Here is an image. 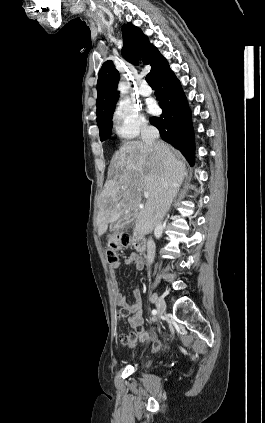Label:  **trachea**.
Instances as JSON below:
<instances>
[{"instance_id":"obj_1","label":"trachea","mask_w":265,"mask_h":423,"mask_svg":"<svg viewBox=\"0 0 265 423\" xmlns=\"http://www.w3.org/2000/svg\"><path fill=\"white\" fill-rule=\"evenodd\" d=\"M146 81H147V83H148L149 85H155V84H154V82H153V80H152V78H151V76H150V74H148V75L146 76Z\"/></svg>"}]
</instances>
